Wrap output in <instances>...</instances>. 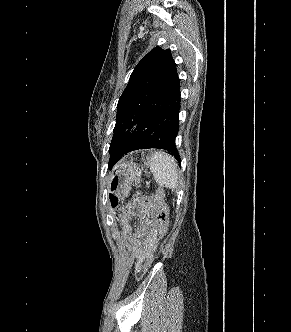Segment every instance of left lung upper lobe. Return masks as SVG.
Masks as SVG:
<instances>
[{"instance_id": "obj_1", "label": "left lung upper lobe", "mask_w": 291, "mask_h": 332, "mask_svg": "<svg viewBox=\"0 0 291 332\" xmlns=\"http://www.w3.org/2000/svg\"><path fill=\"white\" fill-rule=\"evenodd\" d=\"M176 71L171 51L159 46L137 64L117 104L116 124L109 148L111 157L131 138L132 134L126 129L134 123L139 124L148 103L166 87Z\"/></svg>"}]
</instances>
